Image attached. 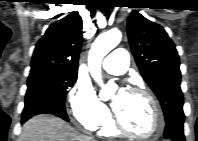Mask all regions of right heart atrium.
Listing matches in <instances>:
<instances>
[{
    "instance_id": "d8ad5b80",
    "label": "right heart atrium",
    "mask_w": 198,
    "mask_h": 141,
    "mask_svg": "<svg viewBox=\"0 0 198 141\" xmlns=\"http://www.w3.org/2000/svg\"><path fill=\"white\" fill-rule=\"evenodd\" d=\"M67 100L69 112L79 125L94 130L109 121L107 107L89 83L79 80L69 92Z\"/></svg>"
}]
</instances>
